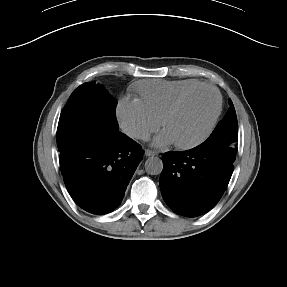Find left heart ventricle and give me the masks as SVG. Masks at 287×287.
I'll use <instances>...</instances> for the list:
<instances>
[{
    "mask_svg": "<svg viewBox=\"0 0 287 287\" xmlns=\"http://www.w3.org/2000/svg\"><path fill=\"white\" fill-rule=\"evenodd\" d=\"M216 108V97L210 90L192 94L167 122L165 130L175 143H186L199 137L206 129Z\"/></svg>",
    "mask_w": 287,
    "mask_h": 287,
    "instance_id": "b2bd125f",
    "label": "left heart ventricle"
}]
</instances>
